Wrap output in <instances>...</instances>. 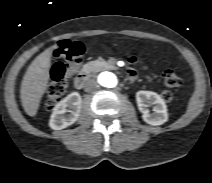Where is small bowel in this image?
<instances>
[{
  "mask_svg": "<svg viewBox=\"0 0 212 183\" xmlns=\"http://www.w3.org/2000/svg\"><path fill=\"white\" fill-rule=\"evenodd\" d=\"M130 62L131 63H136V62H138V60L136 58H131ZM129 72H130L131 75H133L135 73L133 69H130Z\"/></svg>",
  "mask_w": 212,
  "mask_h": 183,
  "instance_id": "small-bowel-1",
  "label": "small bowel"
}]
</instances>
